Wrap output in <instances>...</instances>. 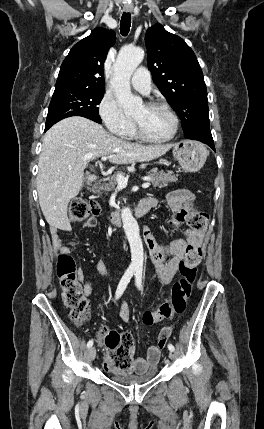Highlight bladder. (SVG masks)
<instances>
[{"label": "bladder", "instance_id": "bladder-1", "mask_svg": "<svg viewBox=\"0 0 264 429\" xmlns=\"http://www.w3.org/2000/svg\"><path fill=\"white\" fill-rule=\"evenodd\" d=\"M157 375V368L152 367L142 374H132L128 376H112V380L122 385L142 384L153 380Z\"/></svg>", "mask_w": 264, "mask_h": 429}]
</instances>
